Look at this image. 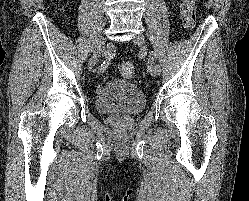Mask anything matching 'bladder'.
I'll return each mask as SVG.
<instances>
[{
	"label": "bladder",
	"mask_w": 249,
	"mask_h": 201,
	"mask_svg": "<svg viewBox=\"0 0 249 201\" xmlns=\"http://www.w3.org/2000/svg\"><path fill=\"white\" fill-rule=\"evenodd\" d=\"M145 107L146 98L143 91L129 81L111 80L97 89L95 108L101 113L136 114Z\"/></svg>",
	"instance_id": "1"
}]
</instances>
